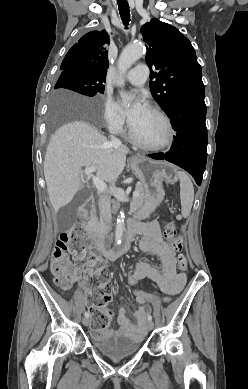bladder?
<instances>
[{
  "instance_id": "bladder-1",
  "label": "bladder",
  "mask_w": 248,
  "mask_h": 389,
  "mask_svg": "<svg viewBox=\"0 0 248 389\" xmlns=\"http://www.w3.org/2000/svg\"><path fill=\"white\" fill-rule=\"evenodd\" d=\"M92 345L100 354L111 359L129 357L141 350V345L128 337L102 333H94Z\"/></svg>"
}]
</instances>
